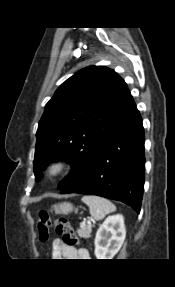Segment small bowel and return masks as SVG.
Here are the masks:
<instances>
[{
	"instance_id": "c3829d8e",
	"label": "small bowel",
	"mask_w": 175,
	"mask_h": 287,
	"mask_svg": "<svg viewBox=\"0 0 175 287\" xmlns=\"http://www.w3.org/2000/svg\"><path fill=\"white\" fill-rule=\"evenodd\" d=\"M52 256L65 259H88L90 254L87 249H76L64 244L60 238H56L52 244Z\"/></svg>"
}]
</instances>
